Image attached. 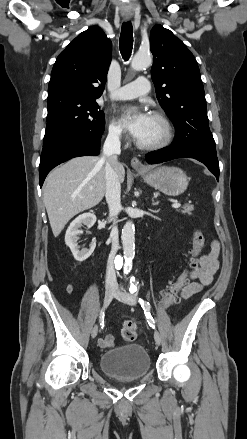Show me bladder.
Instances as JSON below:
<instances>
[{"label": "bladder", "instance_id": "bladder-1", "mask_svg": "<svg viewBox=\"0 0 247 439\" xmlns=\"http://www.w3.org/2000/svg\"><path fill=\"white\" fill-rule=\"evenodd\" d=\"M100 368L109 377L119 381H133L144 377L151 362L146 349L139 344L116 347L100 356Z\"/></svg>", "mask_w": 247, "mask_h": 439}]
</instances>
